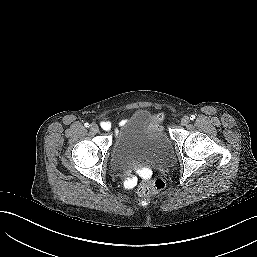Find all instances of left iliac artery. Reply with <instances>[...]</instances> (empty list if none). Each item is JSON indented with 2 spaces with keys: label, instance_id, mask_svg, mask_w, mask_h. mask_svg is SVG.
I'll return each mask as SVG.
<instances>
[{
  "label": "left iliac artery",
  "instance_id": "1",
  "mask_svg": "<svg viewBox=\"0 0 257 257\" xmlns=\"http://www.w3.org/2000/svg\"><path fill=\"white\" fill-rule=\"evenodd\" d=\"M190 119H191V120H194V119H195V115H191V116H190Z\"/></svg>",
  "mask_w": 257,
  "mask_h": 257
}]
</instances>
